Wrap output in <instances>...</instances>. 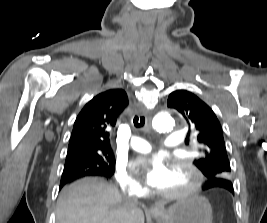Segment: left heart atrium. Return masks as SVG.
<instances>
[{
  "mask_svg": "<svg viewBox=\"0 0 267 223\" xmlns=\"http://www.w3.org/2000/svg\"><path fill=\"white\" fill-rule=\"evenodd\" d=\"M137 167L143 171L146 183L152 188H159L170 175L169 168L158 157L140 159Z\"/></svg>",
  "mask_w": 267,
  "mask_h": 223,
  "instance_id": "left-heart-atrium-1",
  "label": "left heart atrium"
}]
</instances>
